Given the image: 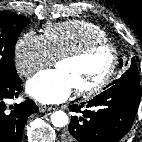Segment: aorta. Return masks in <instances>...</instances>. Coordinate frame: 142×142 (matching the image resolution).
<instances>
[{
  "mask_svg": "<svg viewBox=\"0 0 142 142\" xmlns=\"http://www.w3.org/2000/svg\"><path fill=\"white\" fill-rule=\"evenodd\" d=\"M51 122L55 127H64L67 125L68 116L61 110L55 111L51 114Z\"/></svg>",
  "mask_w": 142,
  "mask_h": 142,
  "instance_id": "762f6f07",
  "label": "aorta"
}]
</instances>
